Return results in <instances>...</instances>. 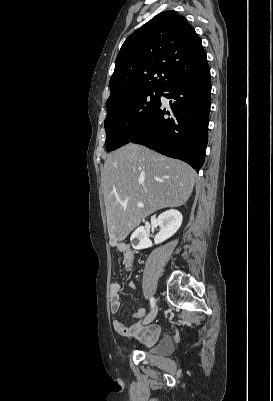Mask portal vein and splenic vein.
Listing matches in <instances>:
<instances>
[{"label": "portal vein and splenic vein", "mask_w": 273, "mask_h": 401, "mask_svg": "<svg viewBox=\"0 0 273 401\" xmlns=\"http://www.w3.org/2000/svg\"><path fill=\"white\" fill-rule=\"evenodd\" d=\"M137 207H144L143 203H137ZM126 209V207H125Z\"/></svg>", "instance_id": "18ae733b"}]
</instances>
